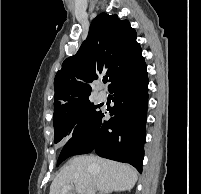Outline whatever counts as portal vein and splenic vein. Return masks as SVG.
Returning <instances> with one entry per match:
<instances>
[{
    "instance_id": "18ae733b",
    "label": "portal vein and splenic vein",
    "mask_w": 201,
    "mask_h": 194,
    "mask_svg": "<svg viewBox=\"0 0 201 194\" xmlns=\"http://www.w3.org/2000/svg\"><path fill=\"white\" fill-rule=\"evenodd\" d=\"M73 188L72 186H64L61 190V194H66L68 191H71Z\"/></svg>"
}]
</instances>
